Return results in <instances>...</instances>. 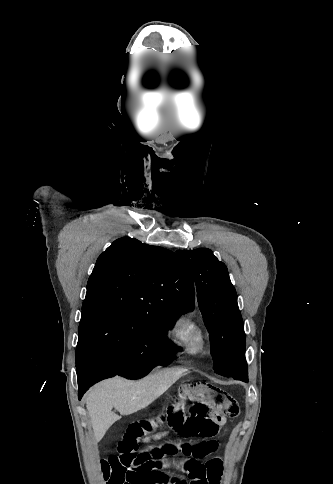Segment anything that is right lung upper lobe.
I'll list each match as a JSON object with an SVG mask.
<instances>
[{
  "instance_id": "1",
  "label": "right lung upper lobe",
  "mask_w": 333,
  "mask_h": 484,
  "mask_svg": "<svg viewBox=\"0 0 333 484\" xmlns=\"http://www.w3.org/2000/svg\"><path fill=\"white\" fill-rule=\"evenodd\" d=\"M194 284L172 251L120 238L97 259L82 309L128 308L148 313H184L193 308Z\"/></svg>"
}]
</instances>
